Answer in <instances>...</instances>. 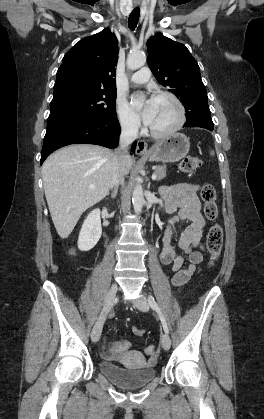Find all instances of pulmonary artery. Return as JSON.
<instances>
[{"instance_id":"obj_1","label":"pulmonary artery","mask_w":264,"mask_h":419,"mask_svg":"<svg viewBox=\"0 0 264 419\" xmlns=\"http://www.w3.org/2000/svg\"><path fill=\"white\" fill-rule=\"evenodd\" d=\"M149 78H150L149 68L143 67L131 76V81L135 84H144L149 80Z\"/></svg>"}]
</instances>
